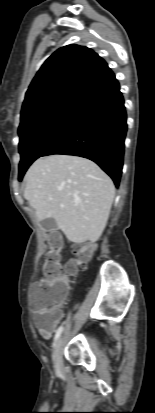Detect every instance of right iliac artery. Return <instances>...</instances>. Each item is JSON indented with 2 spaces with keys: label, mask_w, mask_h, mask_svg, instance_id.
I'll use <instances>...</instances> for the list:
<instances>
[{
  "label": "right iliac artery",
  "mask_w": 155,
  "mask_h": 413,
  "mask_svg": "<svg viewBox=\"0 0 155 413\" xmlns=\"http://www.w3.org/2000/svg\"><path fill=\"white\" fill-rule=\"evenodd\" d=\"M62 331H63V327H62V326H60V327L56 330V334H55V337H54V343H53V345L55 344V342L57 341V339H58L59 336L61 335Z\"/></svg>",
  "instance_id": "obj_1"
}]
</instances>
